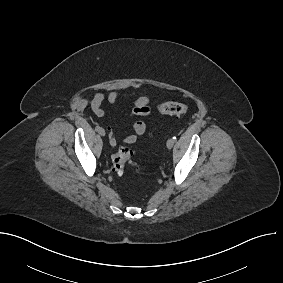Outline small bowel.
Here are the masks:
<instances>
[{"instance_id":"1","label":"small bowel","mask_w":283,"mask_h":283,"mask_svg":"<svg viewBox=\"0 0 283 283\" xmlns=\"http://www.w3.org/2000/svg\"><path fill=\"white\" fill-rule=\"evenodd\" d=\"M119 96H120V92L116 90L109 92L107 95L101 92L95 93L90 102L93 113L97 117H103L105 114V111L103 109V102L107 100L108 103H110L111 105H116ZM150 113H151V108H150V100L148 97L141 96L134 101L131 108V116L143 117V116H148ZM132 128H133V133L124 138L123 140L124 143L127 144L135 143L138 137L146 132L147 125L141 120H136L133 122ZM107 129L109 131V143L111 146L114 147L117 144L114 132L110 127H108Z\"/></svg>"}]
</instances>
